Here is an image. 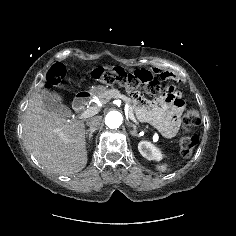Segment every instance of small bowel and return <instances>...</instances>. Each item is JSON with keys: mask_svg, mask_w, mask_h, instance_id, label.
<instances>
[{"mask_svg": "<svg viewBox=\"0 0 236 236\" xmlns=\"http://www.w3.org/2000/svg\"><path fill=\"white\" fill-rule=\"evenodd\" d=\"M146 72L152 76H155V74L159 75L163 81H169L173 78L172 74L165 71ZM168 86L173 87L171 84ZM181 112L182 105L179 100L172 101L167 98H161L155 103H148L141 100L138 116L142 120L153 124L164 136L173 137L179 128Z\"/></svg>", "mask_w": 236, "mask_h": 236, "instance_id": "c3829d8e", "label": "small bowel"}]
</instances>
